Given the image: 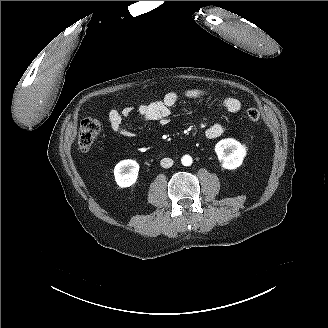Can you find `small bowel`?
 <instances>
[{
  "instance_id": "small-bowel-1",
  "label": "small bowel",
  "mask_w": 328,
  "mask_h": 328,
  "mask_svg": "<svg viewBox=\"0 0 328 328\" xmlns=\"http://www.w3.org/2000/svg\"><path fill=\"white\" fill-rule=\"evenodd\" d=\"M209 95V92L200 88L186 89L181 93L168 92L162 100L140 105L137 108L126 106L122 110L111 109L107 114L110 129L121 136L132 137L133 133L123 126V122L132 116H137L145 121H155L164 126L168 123L171 109L181 97L187 99H198ZM218 102L230 113L241 110L242 104L239 99L232 96H217ZM220 124H213L206 129L205 135L208 139H216L223 134Z\"/></svg>"
}]
</instances>
